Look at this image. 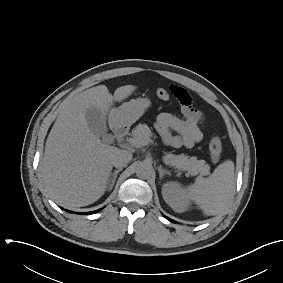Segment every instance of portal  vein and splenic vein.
<instances>
[{
  "label": "portal vein and splenic vein",
  "instance_id": "18ae733b",
  "mask_svg": "<svg viewBox=\"0 0 283 283\" xmlns=\"http://www.w3.org/2000/svg\"><path fill=\"white\" fill-rule=\"evenodd\" d=\"M129 142L133 146L139 147V146H145V145L149 144L150 142H152V140L150 138H144V139H139V140L130 139Z\"/></svg>",
  "mask_w": 283,
  "mask_h": 283
}]
</instances>
